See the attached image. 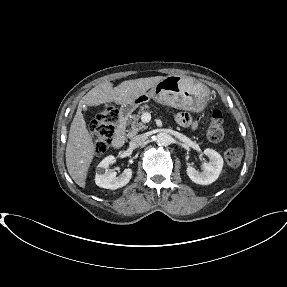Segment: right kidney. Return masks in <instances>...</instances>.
<instances>
[{"label":"right kidney","mask_w":287,"mask_h":287,"mask_svg":"<svg viewBox=\"0 0 287 287\" xmlns=\"http://www.w3.org/2000/svg\"><path fill=\"white\" fill-rule=\"evenodd\" d=\"M116 162L113 155L104 158L96 169L95 183L101 188L115 190L129 183L132 177V170L125 169L123 173L117 176L116 172H109L108 167Z\"/></svg>","instance_id":"ca27d5eb"}]
</instances>
